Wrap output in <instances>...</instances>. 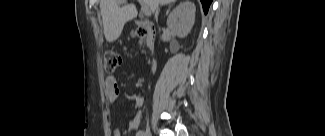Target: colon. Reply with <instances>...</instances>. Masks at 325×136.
<instances>
[{
    "mask_svg": "<svg viewBox=\"0 0 325 136\" xmlns=\"http://www.w3.org/2000/svg\"><path fill=\"white\" fill-rule=\"evenodd\" d=\"M135 34H136V36H138L140 38H143L146 36V32L142 29H139V31L136 32ZM103 59H104L103 67H104L105 72H107V73L115 72V70L122 63L121 55L113 49L106 50L104 52Z\"/></svg>",
    "mask_w": 325,
    "mask_h": 136,
    "instance_id": "1",
    "label": "colon"
}]
</instances>
